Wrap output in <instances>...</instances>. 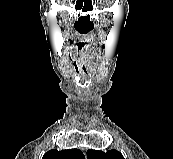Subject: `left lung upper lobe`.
<instances>
[{
    "label": "left lung upper lobe",
    "instance_id": "left-lung-upper-lobe-1",
    "mask_svg": "<svg viewBox=\"0 0 173 159\" xmlns=\"http://www.w3.org/2000/svg\"><path fill=\"white\" fill-rule=\"evenodd\" d=\"M87 159H124V157L117 150H110L105 153L91 149L87 151Z\"/></svg>",
    "mask_w": 173,
    "mask_h": 159
}]
</instances>
